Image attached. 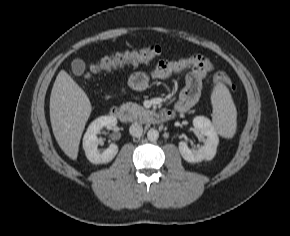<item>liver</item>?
Listing matches in <instances>:
<instances>
[{
	"label": "liver",
	"instance_id": "1",
	"mask_svg": "<svg viewBox=\"0 0 290 236\" xmlns=\"http://www.w3.org/2000/svg\"><path fill=\"white\" fill-rule=\"evenodd\" d=\"M49 108L51 126L58 145L69 158L76 160L92 107L86 93L64 70L58 73L54 82Z\"/></svg>",
	"mask_w": 290,
	"mask_h": 236
}]
</instances>
